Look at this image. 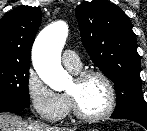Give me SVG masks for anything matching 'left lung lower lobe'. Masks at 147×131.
Returning <instances> with one entry per match:
<instances>
[{
    "instance_id": "1",
    "label": "left lung lower lobe",
    "mask_w": 147,
    "mask_h": 131,
    "mask_svg": "<svg viewBox=\"0 0 147 131\" xmlns=\"http://www.w3.org/2000/svg\"><path fill=\"white\" fill-rule=\"evenodd\" d=\"M111 118H116V119H128L131 121H135L141 125H143L147 129V117L140 116V115H120V116H111Z\"/></svg>"
}]
</instances>
